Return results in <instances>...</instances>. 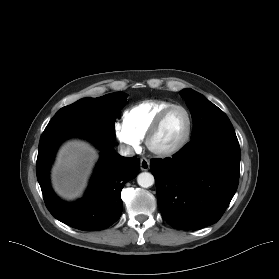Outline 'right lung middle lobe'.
Instances as JSON below:
<instances>
[{
	"label": "right lung middle lobe",
	"mask_w": 279,
	"mask_h": 279,
	"mask_svg": "<svg viewBox=\"0 0 279 279\" xmlns=\"http://www.w3.org/2000/svg\"><path fill=\"white\" fill-rule=\"evenodd\" d=\"M127 94L116 92L98 98H84L61 108L48 123L45 130L83 123L114 139V122L119 110L125 105Z\"/></svg>",
	"instance_id": "1"
}]
</instances>
